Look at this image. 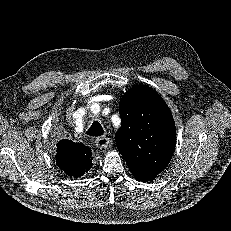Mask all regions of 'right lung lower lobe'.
<instances>
[{"label":"right lung lower lobe","mask_w":231,"mask_h":231,"mask_svg":"<svg viewBox=\"0 0 231 231\" xmlns=\"http://www.w3.org/2000/svg\"><path fill=\"white\" fill-rule=\"evenodd\" d=\"M66 142L68 143V145L75 147L77 149H87L90 151V149L88 147H85L83 144H79V143H74L71 140H66Z\"/></svg>","instance_id":"1"}]
</instances>
